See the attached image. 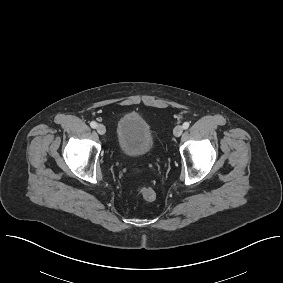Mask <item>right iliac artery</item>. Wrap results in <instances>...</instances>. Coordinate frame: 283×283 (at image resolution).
<instances>
[{
	"label": "right iliac artery",
	"instance_id": "obj_1",
	"mask_svg": "<svg viewBox=\"0 0 283 283\" xmlns=\"http://www.w3.org/2000/svg\"><path fill=\"white\" fill-rule=\"evenodd\" d=\"M90 126H91L92 128H96V127H97V123H96L95 121H92V122L90 123Z\"/></svg>",
	"mask_w": 283,
	"mask_h": 283
}]
</instances>
